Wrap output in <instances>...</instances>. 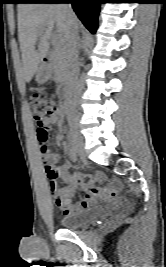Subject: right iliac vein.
Segmentation results:
<instances>
[{
	"instance_id": "63e3f726",
	"label": "right iliac vein",
	"mask_w": 166,
	"mask_h": 267,
	"mask_svg": "<svg viewBox=\"0 0 166 267\" xmlns=\"http://www.w3.org/2000/svg\"><path fill=\"white\" fill-rule=\"evenodd\" d=\"M71 140L74 143L79 155L85 159V150H84V143L82 137L78 134L75 127L71 128Z\"/></svg>"
}]
</instances>
